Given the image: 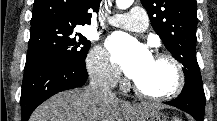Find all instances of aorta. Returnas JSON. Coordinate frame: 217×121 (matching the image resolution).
Returning <instances> with one entry per match:
<instances>
[{"mask_svg":"<svg viewBox=\"0 0 217 121\" xmlns=\"http://www.w3.org/2000/svg\"><path fill=\"white\" fill-rule=\"evenodd\" d=\"M134 0H116V5L119 9H127L129 8Z\"/></svg>","mask_w":217,"mask_h":121,"instance_id":"1","label":"aorta"}]
</instances>
